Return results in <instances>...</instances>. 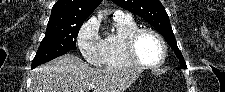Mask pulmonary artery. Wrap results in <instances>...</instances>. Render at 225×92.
I'll return each instance as SVG.
<instances>
[{"label":"pulmonary artery","mask_w":225,"mask_h":92,"mask_svg":"<svg viewBox=\"0 0 225 92\" xmlns=\"http://www.w3.org/2000/svg\"><path fill=\"white\" fill-rule=\"evenodd\" d=\"M114 15H115V17H126V16H129V15H127V14L121 12V11H116Z\"/></svg>","instance_id":"obj_1"}]
</instances>
